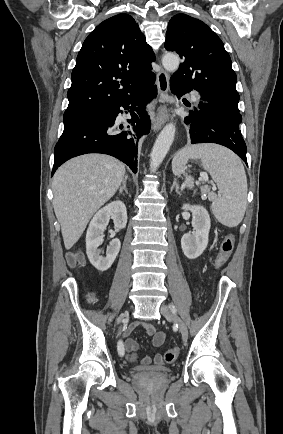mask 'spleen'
<instances>
[{
    "instance_id": "1",
    "label": "spleen",
    "mask_w": 283,
    "mask_h": 434,
    "mask_svg": "<svg viewBox=\"0 0 283 434\" xmlns=\"http://www.w3.org/2000/svg\"><path fill=\"white\" fill-rule=\"evenodd\" d=\"M189 159H201L203 168L218 186V196L211 206L216 219L227 227L239 225L247 203V178L241 160L232 151L214 144L182 149L172 161V171L178 177L183 175L189 188L194 186V179L185 173Z\"/></svg>"
}]
</instances>
